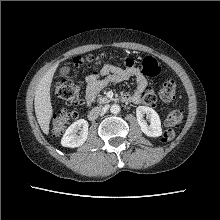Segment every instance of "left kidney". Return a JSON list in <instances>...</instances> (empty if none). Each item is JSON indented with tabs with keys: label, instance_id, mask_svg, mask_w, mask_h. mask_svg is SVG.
<instances>
[{
	"label": "left kidney",
	"instance_id": "obj_1",
	"mask_svg": "<svg viewBox=\"0 0 220 220\" xmlns=\"http://www.w3.org/2000/svg\"><path fill=\"white\" fill-rule=\"evenodd\" d=\"M144 115L149 118V124L144 120ZM136 117L141 131L149 137H159L162 135L161 121L157 112L147 106H138Z\"/></svg>",
	"mask_w": 220,
	"mask_h": 220
}]
</instances>
